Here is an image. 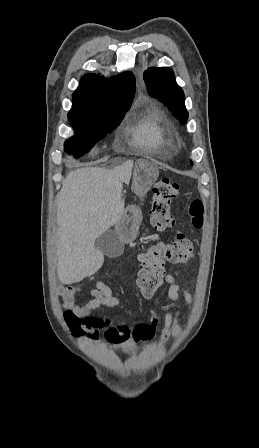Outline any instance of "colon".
<instances>
[{"label": "colon", "instance_id": "5ec220e1", "mask_svg": "<svg viewBox=\"0 0 259 448\" xmlns=\"http://www.w3.org/2000/svg\"><path fill=\"white\" fill-rule=\"evenodd\" d=\"M179 193L178 184L168 178L159 180L154 188L150 209L152 226L164 231L174 226L175 219L171 206ZM188 212L194 227L201 228L204 222V207L199 199H192ZM193 247L190 240L183 234L176 235L169 242H159L148 246L138 257L140 269L135 280L138 296L148 298L152 296L162 285L165 274V263H185L192 258ZM77 287L74 285L61 288L60 295L65 306L74 303ZM65 320L75 334L83 332L81 320L71 311L65 313Z\"/></svg>", "mask_w": 259, "mask_h": 448}]
</instances>
